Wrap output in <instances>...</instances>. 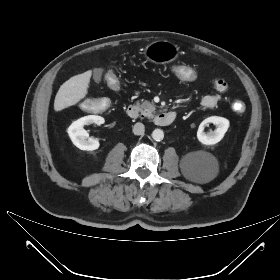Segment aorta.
I'll return each mask as SVG.
<instances>
[{
    "instance_id": "aorta-1",
    "label": "aorta",
    "mask_w": 280,
    "mask_h": 280,
    "mask_svg": "<svg viewBox=\"0 0 280 280\" xmlns=\"http://www.w3.org/2000/svg\"><path fill=\"white\" fill-rule=\"evenodd\" d=\"M151 136L155 141H161L164 138V132L161 129H155Z\"/></svg>"
}]
</instances>
